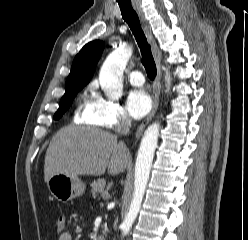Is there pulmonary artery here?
<instances>
[{
    "label": "pulmonary artery",
    "mask_w": 248,
    "mask_h": 240,
    "mask_svg": "<svg viewBox=\"0 0 248 240\" xmlns=\"http://www.w3.org/2000/svg\"><path fill=\"white\" fill-rule=\"evenodd\" d=\"M128 80L134 86H141L144 83L143 74L137 70L128 73Z\"/></svg>",
    "instance_id": "1"
}]
</instances>
